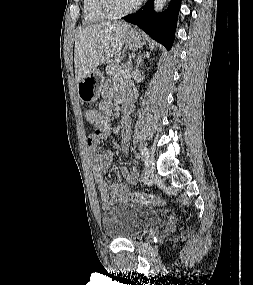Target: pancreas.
<instances>
[{
    "label": "pancreas",
    "mask_w": 253,
    "mask_h": 285,
    "mask_svg": "<svg viewBox=\"0 0 253 285\" xmlns=\"http://www.w3.org/2000/svg\"><path fill=\"white\" fill-rule=\"evenodd\" d=\"M130 70L128 64L120 65L117 62H112L108 66L106 73L114 77H124L125 73Z\"/></svg>",
    "instance_id": "pancreas-1"
}]
</instances>
